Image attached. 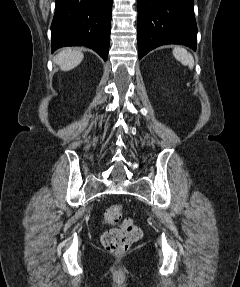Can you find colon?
Masks as SVG:
<instances>
[{"instance_id": "5ec220e1", "label": "colon", "mask_w": 240, "mask_h": 287, "mask_svg": "<svg viewBox=\"0 0 240 287\" xmlns=\"http://www.w3.org/2000/svg\"><path fill=\"white\" fill-rule=\"evenodd\" d=\"M106 221L113 225L101 236L105 250L113 255H122L141 236V230L130 218L123 219V207L115 204L107 207L104 212Z\"/></svg>"}]
</instances>
